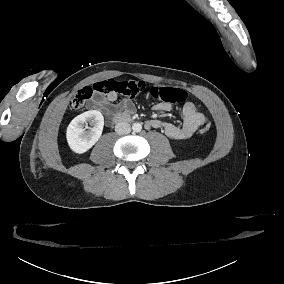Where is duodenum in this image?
I'll return each instance as SVG.
<instances>
[{"instance_id": "410a0bca", "label": "duodenum", "mask_w": 284, "mask_h": 284, "mask_svg": "<svg viewBox=\"0 0 284 284\" xmlns=\"http://www.w3.org/2000/svg\"><path fill=\"white\" fill-rule=\"evenodd\" d=\"M129 120L128 114H116L113 116L114 123H121Z\"/></svg>"}]
</instances>
